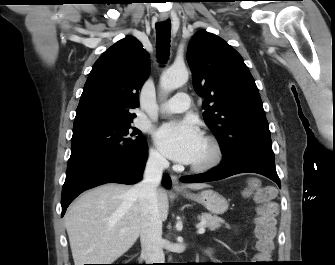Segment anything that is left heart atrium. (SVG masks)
<instances>
[{
  "instance_id": "39dd6f15",
  "label": "left heart atrium",
  "mask_w": 335,
  "mask_h": 265,
  "mask_svg": "<svg viewBox=\"0 0 335 265\" xmlns=\"http://www.w3.org/2000/svg\"><path fill=\"white\" fill-rule=\"evenodd\" d=\"M155 139L168 158L185 164L194 161L203 141L199 129L190 120L163 124Z\"/></svg>"
}]
</instances>
